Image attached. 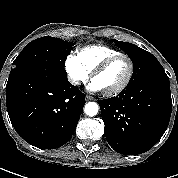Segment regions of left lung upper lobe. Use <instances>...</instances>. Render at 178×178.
Segmentation results:
<instances>
[{"label": "left lung upper lobe", "mask_w": 178, "mask_h": 178, "mask_svg": "<svg viewBox=\"0 0 178 178\" xmlns=\"http://www.w3.org/2000/svg\"><path fill=\"white\" fill-rule=\"evenodd\" d=\"M113 42L122 49L133 62L134 71L127 86H132L147 80L168 78L162 65L150 52L132 43L122 42L116 39H113Z\"/></svg>", "instance_id": "5c2ea615"}]
</instances>
